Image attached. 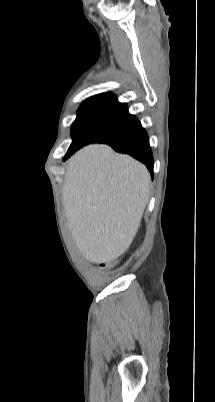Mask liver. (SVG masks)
Segmentation results:
<instances>
[{
  "instance_id": "liver-1",
  "label": "liver",
  "mask_w": 215,
  "mask_h": 402,
  "mask_svg": "<svg viewBox=\"0 0 215 402\" xmlns=\"http://www.w3.org/2000/svg\"><path fill=\"white\" fill-rule=\"evenodd\" d=\"M145 165L105 144L88 145L68 162L63 205L73 240L93 263H108L130 246L149 200Z\"/></svg>"
}]
</instances>
